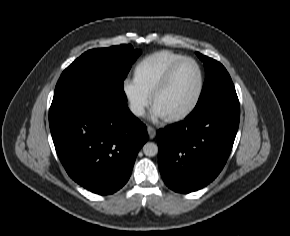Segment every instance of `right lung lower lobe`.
Returning a JSON list of instances; mask_svg holds the SVG:
<instances>
[{
	"label": "right lung lower lobe",
	"instance_id": "right-lung-lower-lobe-1",
	"mask_svg": "<svg viewBox=\"0 0 290 236\" xmlns=\"http://www.w3.org/2000/svg\"><path fill=\"white\" fill-rule=\"evenodd\" d=\"M49 124L56 152L69 176L100 195L124 186L148 140L146 126L123 104H52Z\"/></svg>",
	"mask_w": 290,
	"mask_h": 236
}]
</instances>
